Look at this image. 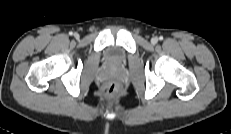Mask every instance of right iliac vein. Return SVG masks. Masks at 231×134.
Returning <instances> with one entry per match:
<instances>
[{
  "label": "right iliac vein",
  "instance_id": "obj_1",
  "mask_svg": "<svg viewBox=\"0 0 231 134\" xmlns=\"http://www.w3.org/2000/svg\"><path fill=\"white\" fill-rule=\"evenodd\" d=\"M74 37H75L76 39H78L80 36H79L78 33H75V34H74Z\"/></svg>",
  "mask_w": 231,
  "mask_h": 134
}]
</instances>
